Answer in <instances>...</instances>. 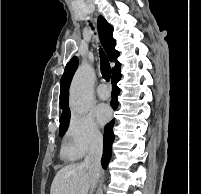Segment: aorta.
<instances>
[{
	"mask_svg": "<svg viewBox=\"0 0 201 194\" xmlns=\"http://www.w3.org/2000/svg\"><path fill=\"white\" fill-rule=\"evenodd\" d=\"M94 69L82 62L78 67L70 85V108L72 111L85 114L89 111L93 100Z\"/></svg>",
	"mask_w": 201,
	"mask_h": 194,
	"instance_id": "1",
	"label": "aorta"
}]
</instances>
